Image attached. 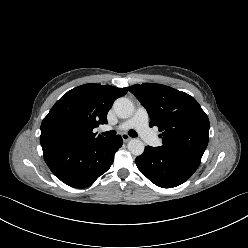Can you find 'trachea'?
<instances>
[{
    "instance_id": "1",
    "label": "trachea",
    "mask_w": 248,
    "mask_h": 248,
    "mask_svg": "<svg viewBox=\"0 0 248 248\" xmlns=\"http://www.w3.org/2000/svg\"><path fill=\"white\" fill-rule=\"evenodd\" d=\"M128 133L131 137H137L138 136V134L134 130H130ZM102 134L106 137H112V136L116 135V131H114V130L106 131V132H103Z\"/></svg>"
}]
</instances>
